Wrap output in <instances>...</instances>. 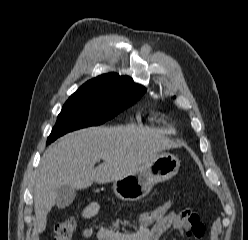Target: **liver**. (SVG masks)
<instances>
[{
    "instance_id": "liver-1",
    "label": "liver",
    "mask_w": 248,
    "mask_h": 240,
    "mask_svg": "<svg viewBox=\"0 0 248 240\" xmlns=\"http://www.w3.org/2000/svg\"><path fill=\"white\" fill-rule=\"evenodd\" d=\"M178 145L162 135L134 126L90 127L69 133L44 152L34 184V211L38 232L63 185L85 189L132 173L162 150ZM103 163L95 167V164Z\"/></svg>"
}]
</instances>
